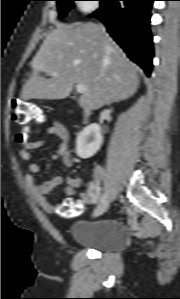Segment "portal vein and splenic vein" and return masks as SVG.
<instances>
[{"mask_svg":"<svg viewBox=\"0 0 180 299\" xmlns=\"http://www.w3.org/2000/svg\"><path fill=\"white\" fill-rule=\"evenodd\" d=\"M53 77H56V76H58V73L57 72H52V74H51ZM76 91L79 93V94H84L86 91H87V89H86V87L84 86V85H82V84H76Z\"/></svg>","mask_w":180,"mask_h":299,"instance_id":"18ae733b","label":"portal vein and splenic vein"}]
</instances>
